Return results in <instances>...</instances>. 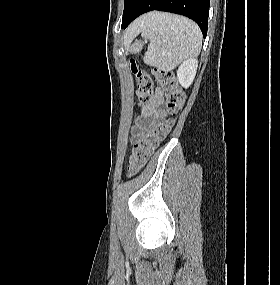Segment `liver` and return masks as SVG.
<instances>
[{"label": "liver", "instance_id": "obj_1", "mask_svg": "<svg viewBox=\"0 0 280 285\" xmlns=\"http://www.w3.org/2000/svg\"><path fill=\"white\" fill-rule=\"evenodd\" d=\"M153 15V13L144 15L142 17H140L139 19H137L131 26L130 28L127 30L126 34H125V39L129 40L132 37H134L136 34H138L143 25L145 24V22Z\"/></svg>", "mask_w": 280, "mask_h": 285}]
</instances>
